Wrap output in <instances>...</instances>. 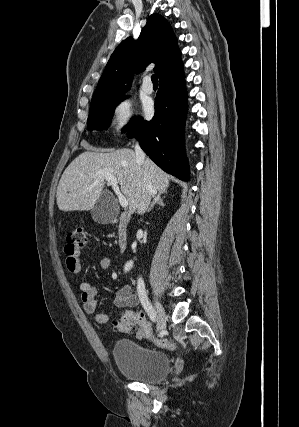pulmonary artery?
<instances>
[{"label": "pulmonary artery", "mask_w": 299, "mask_h": 427, "mask_svg": "<svg viewBox=\"0 0 299 427\" xmlns=\"http://www.w3.org/2000/svg\"><path fill=\"white\" fill-rule=\"evenodd\" d=\"M142 89L145 93L151 94L153 92V85L151 83V77L145 76L142 83Z\"/></svg>", "instance_id": "obj_1"}]
</instances>
